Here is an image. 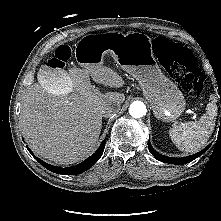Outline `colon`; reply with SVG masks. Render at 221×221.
<instances>
[{
  "label": "colon",
  "instance_id": "5ec220e1",
  "mask_svg": "<svg viewBox=\"0 0 221 221\" xmlns=\"http://www.w3.org/2000/svg\"><path fill=\"white\" fill-rule=\"evenodd\" d=\"M153 49L184 94L192 98L201 95L205 75L198 67L197 60L189 49L171 43L164 37L155 39ZM71 55V49L66 45H61L56 49L49 66L55 69L63 68L71 58Z\"/></svg>",
  "mask_w": 221,
  "mask_h": 221
}]
</instances>
